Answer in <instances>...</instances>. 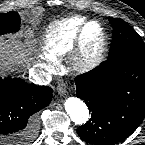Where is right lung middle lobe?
I'll list each match as a JSON object with an SVG mask.
<instances>
[{
  "mask_svg": "<svg viewBox=\"0 0 145 145\" xmlns=\"http://www.w3.org/2000/svg\"><path fill=\"white\" fill-rule=\"evenodd\" d=\"M20 28V17L18 13L10 11L0 13V35L16 32Z\"/></svg>",
  "mask_w": 145,
  "mask_h": 145,
  "instance_id": "right-lung-middle-lobe-1",
  "label": "right lung middle lobe"
}]
</instances>
